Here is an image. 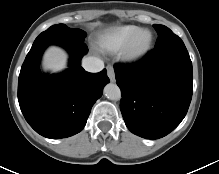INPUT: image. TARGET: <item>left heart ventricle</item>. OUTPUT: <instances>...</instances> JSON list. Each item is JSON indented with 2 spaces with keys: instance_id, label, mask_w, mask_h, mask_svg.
<instances>
[{
  "instance_id": "left-heart-ventricle-1",
  "label": "left heart ventricle",
  "mask_w": 219,
  "mask_h": 174,
  "mask_svg": "<svg viewBox=\"0 0 219 174\" xmlns=\"http://www.w3.org/2000/svg\"><path fill=\"white\" fill-rule=\"evenodd\" d=\"M148 38V34L143 33L138 39V45H142Z\"/></svg>"
}]
</instances>
